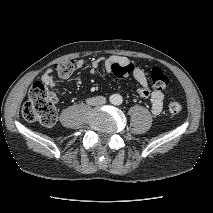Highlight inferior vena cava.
<instances>
[{
	"label": "inferior vena cava",
	"instance_id": "inferior-vena-cava-1",
	"mask_svg": "<svg viewBox=\"0 0 213 213\" xmlns=\"http://www.w3.org/2000/svg\"><path fill=\"white\" fill-rule=\"evenodd\" d=\"M87 103L92 106H100L106 103V98L104 96H96L87 99Z\"/></svg>",
	"mask_w": 213,
	"mask_h": 213
}]
</instances>
